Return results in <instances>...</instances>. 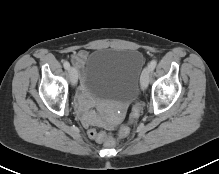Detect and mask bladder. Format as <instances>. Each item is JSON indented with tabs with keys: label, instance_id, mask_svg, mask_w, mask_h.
<instances>
[{
	"label": "bladder",
	"instance_id": "bladder-1",
	"mask_svg": "<svg viewBox=\"0 0 219 174\" xmlns=\"http://www.w3.org/2000/svg\"><path fill=\"white\" fill-rule=\"evenodd\" d=\"M143 66L144 56L137 49L94 50L86 60L83 88L97 99L130 102L136 96Z\"/></svg>",
	"mask_w": 219,
	"mask_h": 174
}]
</instances>
